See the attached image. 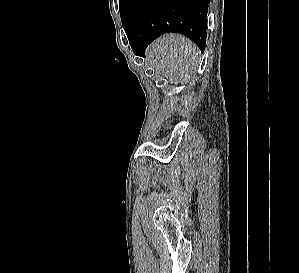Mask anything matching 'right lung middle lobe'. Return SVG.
I'll use <instances>...</instances> for the list:
<instances>
[{
	"mask_svg": "<svg viewBox=\"0 0 299 273\" xmlns=\"http://www.w3.org/2000/svg\"><path fill=\"white\" fill-rule=\"evenodd\" d=\"M133 1L134 0H119V11L121 15L122 25H124L126 19L128 18Z\"/></svg>",
	"mask_w": 299,
	"mask_h": 273,
	"instance_id": "obj_1",
	"label": "right lung middle lobe"
}]
</instances>
